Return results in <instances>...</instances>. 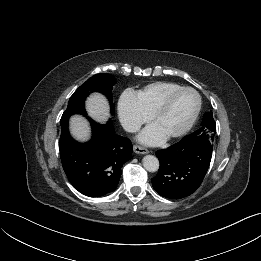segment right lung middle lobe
I'll use <instances>...</instances> for the list:
<instances>
[{"mask_svg": "<svg viewBox=\"0 0 261 261\" xmlns=\"http://www.w3.org/2000/svg\"><path fill=\"white\" fill-rule=\"evenodd\" d=\"M115 80L110 74H96L83 83L70 97L67 109L61 117V125L68 123L69 117L73 114H81L86 116L85 99L92 92H100L104 94L110 102L111 114H114L115 105L111 95L112 86Z\"/></svg>", "mask_w": 261, "mask_h": 261, "instance_id": "obj_1", "label": "right lung middle lobe"}]
</instances>
